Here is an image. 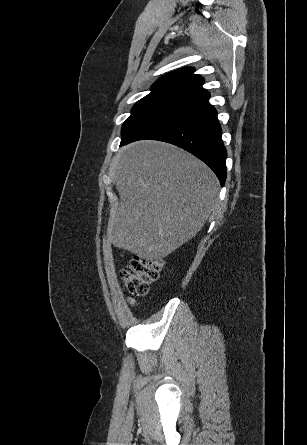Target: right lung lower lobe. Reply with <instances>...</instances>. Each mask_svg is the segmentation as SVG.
<instances>
[{"label": "right lung lower lobe", "mask_w": 307, "mask_h": 445, "mask_svg": "<svg viewBox=\"0 0 307 445\" xmlns=\"http://www.w3.org/2000/svg\"><path fill=\"white\" fill-rule=\"evenodd\" d=\"M209 97L206 92L184 102L123 138L120 146L142 139L174 144L205 162L224 186L227 152L221 139L222 130L217 120V112L209 104Z\"/></svg>", "instance_id": "obj_1"}]
</instances>
